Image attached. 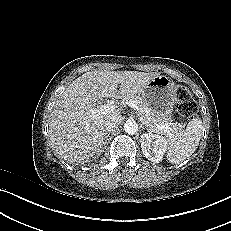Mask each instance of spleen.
Here are the masks:
<instances>
[{
  "label": "spleen",
  "instance_id": "spleen-1",
  "mask_svg": "<svg viewBox=\"0 0 231 231\" xmlns=\"http://www.w3.org/2000/svg\"><path fill=\"white\" fill-rule=\"evenodd\" d=\"M201 119L191 120L186 129L177 136L171 135L165 146L166 157L172 164L181 163L197 149L202 135Z\"/></svg>",
  "mask_w": 231,
  "mask_h": 231
}]
</instances>
